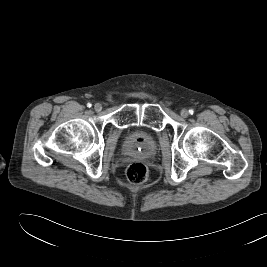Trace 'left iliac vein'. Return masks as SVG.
Returning a JSON list of instances; mask_svg holds the SVG:
<instances>
[{
  "instance_id": "left-iliac-vein-1",
  "label": "left iliac vein",
  "mask_w": 267,
  "mask_h": 267,
  "mask_svg": "<svg viewBox=\"0 0 267 267\" xmlns=\"http://www.w3.org/2000/svg\"><path fill=\"white\" fill-rule=\"evenodd\" d=\"M180 114H181V116H182L183 118H186V117H188L189 112H188L187 109H182Z\"/></svg>"
}]
</instances>
